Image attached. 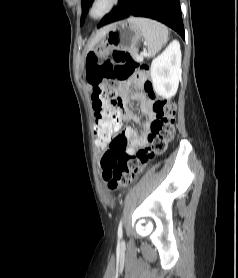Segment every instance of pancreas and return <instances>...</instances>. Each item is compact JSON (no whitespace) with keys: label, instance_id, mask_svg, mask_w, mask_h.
Wrapping results in <instances>:
<instances>
[{"label":"pancreas","instance_id":"cf45deb5","mask_svg":"<svg viewBox=\"0 0 238 278\" xmlns=\"http://www.w3.org/2000/svg\"><path fill=\"white\" fill-rule=\"evenodd\" d=\"M130 53L133 57L138 58L137 49L130 50Z\"/></svg>","mask_w":238,"mask_h":278}]
</instances>
